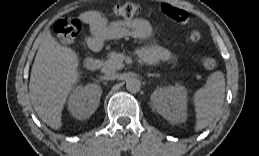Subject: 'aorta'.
<instances>
[{"instance_id":"obj_1","label":"aorta","mask_w":259,"mask_h":156,"mask_svg":"<svg viewBox=\"0 0 259 156\" xmlns=\"http://www.w3.org/2000/svg\"><path fill=\"white\" fill-rule=\"evenodd\" d=\"M126 88L131 93H136L141 89V81L137 78H129L126 81Z\"/></svg>"}]
</instances>
